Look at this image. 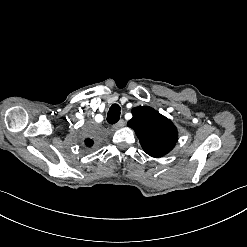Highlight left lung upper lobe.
Instances as JSON below:
<instances>
[{
    "label": "left lung upper lobe",
    "instance_id": "obj_1",
    "mask_svg": "<svg viewBox=\"0 0 247 247\" xmlns=\"http://www.w3.org/2000/svg\"><path fill=\"white\" fill-rule=\"evenodd\" d=\"M133 118L128 126L133 128L143 150L152 157H161L169 153L178 140L174 124L158 111L148 106L132 109Z\"/></svg>",
    "mask_w": 247,
    "mask_h": 247
}]
</instances>
